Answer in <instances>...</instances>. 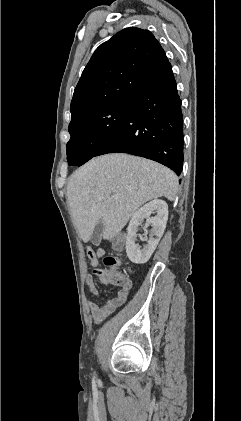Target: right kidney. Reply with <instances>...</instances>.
I'll list each match as a JSON object with an SVG mask.
<instances>
[{
    "mask_svg": "<svg viewBox=\"0 0 241 421\" xmlns=\"http://www.w3.org/2000/svg\"><path fill=\"white\" fill-rule=\"evenodd\" d=\"M153 213L156 215L150 217ZM144 219H146L145 228L151 225L152 229L149 238L144 239L147 244L141 248L136 244V237L138 227ZM167 220L168 205L159 199L152 200L134 213L129 222L126 237V253L131 262L143 264L149 260L164 233Z\"/></svg>",
    "mask_w": 241,
    "mask_h": 421,
    "instance_id": "right-kidney-1",
    "label": "right kidney"
}]
</instances>
